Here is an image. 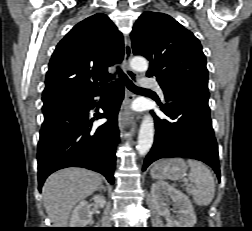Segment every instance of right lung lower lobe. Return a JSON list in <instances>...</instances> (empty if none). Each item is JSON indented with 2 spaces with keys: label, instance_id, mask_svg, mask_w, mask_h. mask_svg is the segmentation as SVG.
I'll list each match as a JSON object with an SVG mask.
<instances>
[{
  "label": "right lung lower lobe",
  "instance_id": "right-lung-lower-lobe-1",
  "mask_svg": "<svg viewBox=\"0 0 252 231\" xmlns=\"http://www.w3.org/2000/svg\"><path fill=\"white\" fill-rule=\"evenodd\" d=\"M103 113L107 118L98 128L88 121L89 110L95 105L99 91L82 93L67 107L44 116L37 148L38 181L41 190L45 179L54 171L66 167H83L103 174L114 183L115 151L119 140L117 115L124 97L121 81L112 84Z\"/></svg>",
  "mask_w": 252,
  "mask_h": 231
}]
</instances>
